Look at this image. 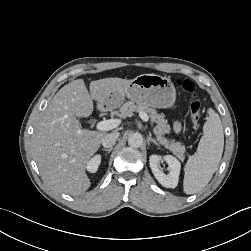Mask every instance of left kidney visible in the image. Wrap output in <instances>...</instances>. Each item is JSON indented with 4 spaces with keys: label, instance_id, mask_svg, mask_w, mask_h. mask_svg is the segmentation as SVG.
I'll return each instance as SVG.
<instances>
[{
    "label": "left kidney",
    "instance_id": "obj_1",
    "mask_svg": "<svg viewBox=\"0 0 251 251\" xmlns=\"http://www.w3.org/2000/svg\"><path fill=\"white\" fill-rule=\"evenodd\" d=\"M163 159L168 164L169 173L164 174L159 167V162ZM150 168L157 179V181L166 188H175L179 181V174L181 170V163L172 155H165L161 157L153 154L149 158Z\"/></svg>",
    "mask_w": 251,
    "mask_h": 251
}]
</instances>
